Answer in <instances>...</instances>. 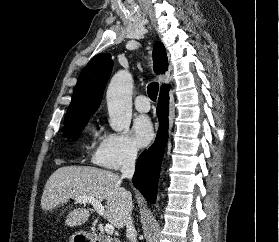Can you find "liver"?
Returning a JSON list of instances; mask_svg holds the SVG:
<instances>
[{
  "instance_id": "6515ba94",
  "label": "liver",
  "mask_w": 279,
  "mask_h": 242,
  "mask_svg": "<svg viewBox=\"0 0 279 242\" xmlns=\"http://www.w3.org/2000/svg\"><path fill=\"white\" fill-rule=\"evenodd\" d=\"M122 180L118 174L96 167H60L46 182L41 208L52 211L79 196L105 200L106 219L116 228L122 229L133 209L132 195L121 187ZM89 216V209L76 208L67 215L65 225L71 227L82 225Z\"/></svg>"
}]
</instances>
